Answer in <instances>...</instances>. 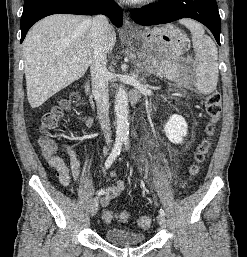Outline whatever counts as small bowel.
I'll return each mask as SVG.
<instances>
[{
  "label": "small bowel",
  "mask_w": 247,
  "mask_h": 257,
  "mask_svg": "<svg viewBox=\"0 0 247 257\" xmlns=\"http://www.w3.org/2000/svg\"><path fill=\"white\" fill-rule=\"evenodd\" d=\"M87 124H90L91 121L88 118L83 119ZM64 151L69 157L70 165L69 167L63 162L62 158L55 155L53 157L47 158L48 164L53 167L57 172V177L60 183L63 186H69L71 181V175L78 179L80 177V162L74 148L68 144H62ZM104 190L103 198L101 203L103 206H106L109 201L119 196L125 190V184L123 181L118 180L115 185L106 187Z\"/></svg>",
  "instance_id": "small-bowel-1"
}]
</instances>
